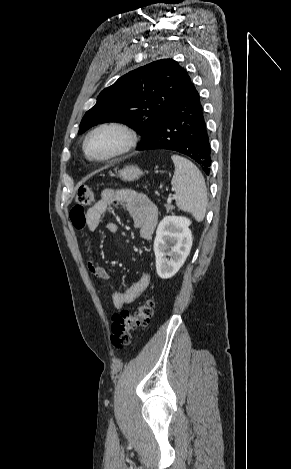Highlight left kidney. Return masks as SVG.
<instances>
[{"label": "left kidney", "instance_id": "1", "mask_svg": "<svg viewBox=\"0 0 291 469\" xmlns=\"http://www.w3.org/2000/svg\"><path fill=\"white\" fill-rule=\"evenodd\" d=\"M191 221L182 216L165 217L154 240L156 271L160 278L173 277L183 266L192 247ZM170 256V260L167 258Z\"/></svg>", "mask_w": 291, "mask_h": 469}]
</instances>
